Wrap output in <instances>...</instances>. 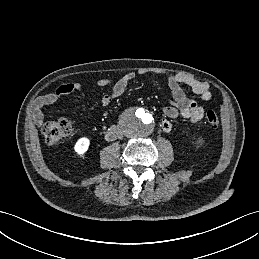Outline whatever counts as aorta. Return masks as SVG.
<instances>
[{"instance_id":"obj_1","label":"aorta","mask_w":259,"mask_h":259,"mask_svg":"<svg viewBox=\"0 0 259 259\" xmlns=\"http://www.w3.org/2000/svg\"><path fill=\"white\" fill-rule=\"evenodd\" d=\"M121 129L131 138L148 137L154 129V116L146 108H134L121 119Z\"/></svg>"}]
</instances>
